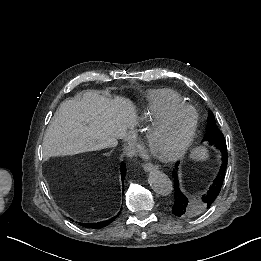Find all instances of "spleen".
Wrapping results in <instances>:
<instances>
[{"instance_id":"obj_1","label":"spleen","mask_w":261,"mask_h":261,"mask_svg":"<svg viewBox=\"0 0 261 261\" xmlns=\"http://www.w3.org/2000/svg\"><path fill=\"white\" fill-rule=\"evenodd\" d=\"M190 158L195 161H206L209 159V153L206 147L199 146L193 148L190 153Z\"/></svg>"}]
</instances>
